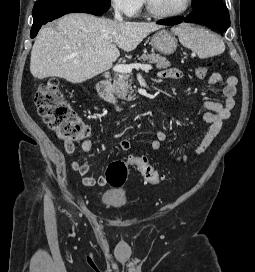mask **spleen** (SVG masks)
<instances>
[{
    "instance_id": "1",
    "label": "spleen",
    "mask_w": 255,
    "mask_h": 272,
    "mask_svg": "<svg viewBox=\"0 0 255 272\" xmlns=\"http://www.w3.org/2000/svg\"><path fill=\"white\" fill-rule=\"evenodd\" d=\"M172 31L178 36L180 43L197 53L199 58L219 55L225 50L222 39L202 27L181 24Z\"/></svg>"
}]
</instances>
